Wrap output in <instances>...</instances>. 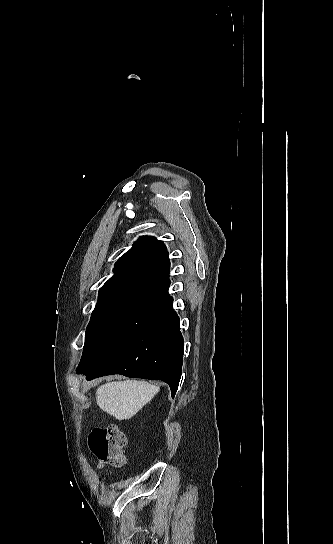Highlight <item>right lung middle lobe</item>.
Returning <instances> with one entry per match:
<instances>
[{
    "mask_svg": "<svg viewBox=\"0 0 333 544\" xmlns=\"http://www.w3.org/2000/svg\"><path fill=\"white\" fill-rule=\"evenodd\" d=\"M170 302L128 298L97 304L87 326L83 355L78 367L107 358L150 326Z\"/></svg>",
    "mask_w": 333,
    "mask_h": 544,
    "instance_id": "right-lung-middle-lobe-1",
    "label": "right lung middle lobe"
}]
</instances>
